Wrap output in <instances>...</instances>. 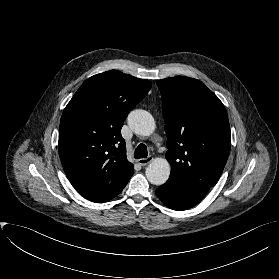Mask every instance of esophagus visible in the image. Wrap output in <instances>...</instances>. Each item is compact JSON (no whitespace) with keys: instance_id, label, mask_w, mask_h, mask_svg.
Returning <instances> with one entry per match:
<instances>
[{"instance_id":"obj_1","label":"esophagus","mask_w":279,"mask_h":279,"mask_svg":"<svg viewBox=\"0 0 279 279\" xmlns=\"http://www.w3.org/2000/svg\"><path fill=\"white\" fill-rule=\"evenodd\" d=\"M153 161V157L152 156H148L147 158H141L138 160V163L141 165V166H146L148 165L149 163H151Z\"/></svg>"}]
</instances>
